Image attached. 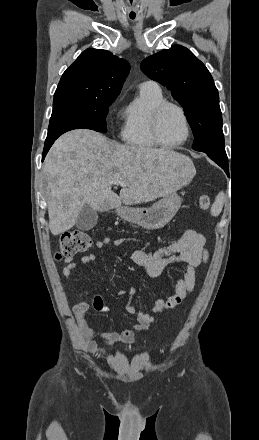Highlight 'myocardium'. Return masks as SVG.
I'll return each mask as SVG.
<instances>
[{"label":"myocardium","instance_id":"obj_1","mask_svg":"<svg viewBox=\"0 0 259 440\" xmlns=\"http://www.w3.org/2000/svg\"><path fill=\"white\" fill-rule=\"evenodd\" d=\"M168 108H175L180 113V115L182 116V119L184 121L185 128H186V135H185L184 139L178 143H175V144L165 143L161 139L160 132H159L160 121H161L162 115ZM151 134H152V137H153L155 143L158 146L165 148V149H175V148L181 147L184 144H186L191 136V125H190L189 118H188L184 108L181 105H179L175 102H171V101H164L161 104H159L155 108V110L153 111V114H152Z\"/></svg>","mask_w":259,"mask_h":440}]
</instances>
